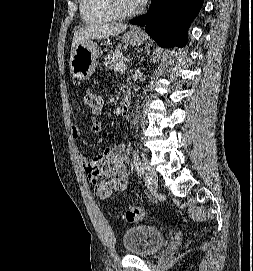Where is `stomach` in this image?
<instances>
[{"label": "stomach", "mask_w": 253, "mask_h": 271, "mask_svg": "<svg viewBox=\"0 0 253 271\" xmlns=\"http://www.w3.org/2000/svg\"><path fill=\"white\" fill-rule=\"evenodd\" d=\"M125 43L137 46L143 41V36L135 31H129L122 37ZM99 47L97 43L87 40L79 43L71 53L70 71L72 75L79 80H87L95 71Z\"/></svg>", "instance_id": "stomach-1"}]
</instances>
